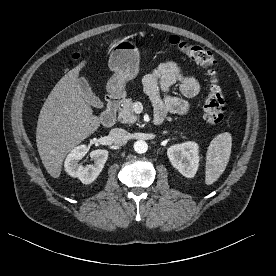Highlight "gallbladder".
Listing matches in <instances>:
<instances>
[{"mask_svg": "<svg viewBox=\"0 0 276 276\" xmlns=\"http://www.w3.org/2000/svg\"><path fill=\"white\" fill-rule=\"evenodd\" d=\"M77 84L82 93V97L90 105L95 106L99 103V98L92 92L87 80L83 77L77 78Z\"/></svg>", "mask_w": 276, "mask_h": 276, "instance_id": "obj_1", "label": "gallbladder"}]
</instances>
